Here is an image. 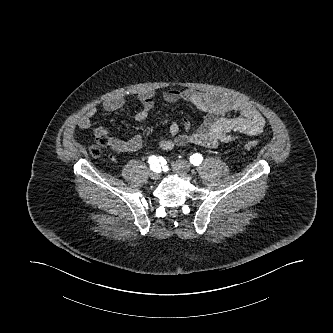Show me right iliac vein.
I'll use <instances>...</instances> for the list:
<instances>
[{"mask_svg": "<svg viewBox=\"0 0 333 333\" xmlns=\"http://www.w3.org/2000/svg\"><path fill=\"white\" fill-rule=\"evenodd\" d=\"M160 171H151L150 172V177L152 178V179H155V180H157L159 177H160V173H159Z\"/></svg>", "mask_w": 333, "mask_h": 333, "instance_id": "obj_1", "label": "right iliac vein"}]
</instances>
